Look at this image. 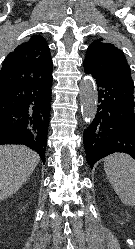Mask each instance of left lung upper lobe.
Listing matches in <instances>:
<instances>
[{
  "instance_id": "left-lung-upper-lobe-1",
  "label": "left lung upper lobe",
  "mask_w": 135,
  "mask_h": 249,
  "mask_svg": "<svg viewBox=\"0 0 135 249\" xmlns=\"http://www.w3.org/2000/svg\"><path fill=\"white\" fill-rule=\"evenodd\" d=\"M83 64L96 74L134 85L124 53L113 44L103 42L102 38L88 47Z\"/></svg>"
}]
</instances>
